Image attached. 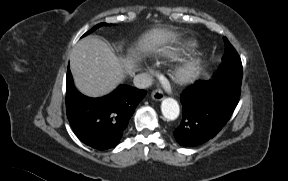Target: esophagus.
<instances>
[{
    "label": "esophagus",
    "instance_id": "esophagus-1",
    "mask_svg": "<svg viewBox=\"0 0 288 181\" xmlns=\"http://www.w3.org/2000/svg\"><path fill=\"white\" fill-rule=\"evenodd\" d=\"M151 96H152L153 100L161 101L164 98V93L162 90L157 89V90L152 92Z\"/></svg>",
    "mask_w": 288,
    "mask_h": 181
}]
</instances>
